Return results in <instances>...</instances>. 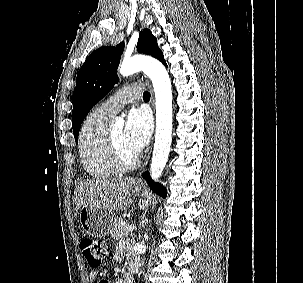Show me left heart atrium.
Segmentation results:
<instances>
[{"mask_svg":"<svg viewBox=\"0 0 303 283\" xmlns=\"http://www.w3.org/2000/svg\"><path fill=\"white\" fill-rule=\"evenodd\" d=\"M151 131L152 122L146 111L133 108L128 112L124 127V140L134 154L139 153L146 146Z\"/></svg>","mask_w":303,"mask_h":283,"instance_id":"1","label":"left heart atrium"}]
</instances>
